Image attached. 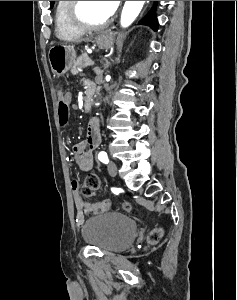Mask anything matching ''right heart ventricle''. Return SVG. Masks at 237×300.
<instances>
[{
    "label": "right heart ventricle",
    "mask_w": 237,
    "mask_h": 300,
    "mask_svg": "<svg viewBox=\"0 0 237 300\" xmlns=\"http://www.w3.org/2000/svg\"><path fill=\"white\" fill-rule=\"evenodd\" d=\"M70 1H57L55 8L56 34L62 39H71L82 35L83 31L72 26L68 18Z\"/></svg>",
    "instance_id": "obj_1"
}]
</instances>
